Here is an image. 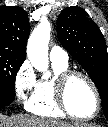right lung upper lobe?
<instances>
[{"label": "right lung upper lobe", "instance_id": "1", "mask_svg": "<svg viewBox=\"0 0 108 127\" xmlns=\"http://www.w3.org/2000/svg\"><path fill=\"white\" fill-rule=\"evenodd\" d=\"M29 33L28 15L21 7H0V53L25 59Z\"/></svg>", "mask_w": 108, "mask_h": 127}]
</instances>
